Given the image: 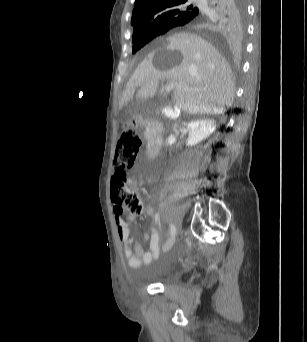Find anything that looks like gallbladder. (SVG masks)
Returning <instances> with one entry per match:
<instances>
[{
	"mask_svg": "<svg viewBox=\"0 0 307 342\" xmlns=\"http://www.w3.org/2000/svg\"><path fill=\"white\" fill-rule=\"evenodd\" d=\"M139 101L141 100H143V101H145L147 98L145 97V96H139L138 98H137ZM166 109L169 107L167 104L164 106ZM168 111V113L166 114L168 117L171 115L172 116V118H179V116H180V109H179V107H172V109H168L167 110ZM170 112H172L171 114H170Z\"/></svg>",
	"mask_w": 307,
	"mask_h": 342,
	"instance_id": "1",
	"label": "gallbladder"
}]
</instances>
